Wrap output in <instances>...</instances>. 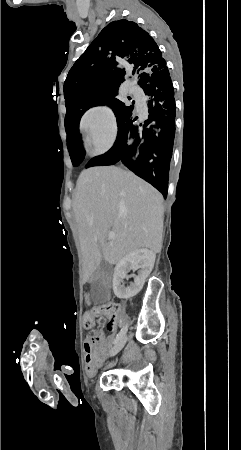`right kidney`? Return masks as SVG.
<instances>
[{"label":"right kidney","instance_id":"obj_1","mask_svg":"<svg viewBox=\"0 0 241 450\" xmlns=\"http://www.w3.org/2000/svg\"><path fill=\"white\" fill-rule=\"evenodd\" d=\"M155 262V254L152 250H133L126 254L124 258L119 260L114 268L113 276V290L117 298L122 300H128L133 298L136 294H139L144 286L146 278L151 274ZM138 270V276H128V272ZM134 278V282H131L130 286L125 288L123 280H129Z\"/></svg>","mask_w":241,"mask_h":450}]
</instances>
